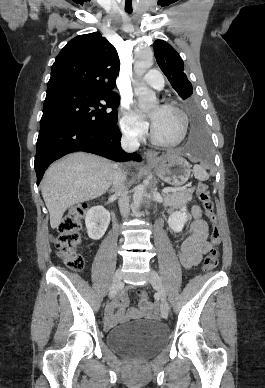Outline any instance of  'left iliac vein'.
Returning <instances> with one entry per match:
<instances>
[{"label": "left iliac vein", "mask_w": 265, "mask_h": 388, "mask_svg": "<svg viewBox=\"0 0 265 388\" xmlns=\"http://www.w3.org/2000/svg\"><path fill=\"white\" fill-rule=\"evenodd\" d=\"M150 282L152 286L156 289L159 298H160V313L161 316L166 319L168 317V303H167V296L166 291L164 288V285L158 275V273L154 270H151L150 272Z\"/></svg>", "instance_id": "left-iliac-vein-1"}]
</instances>
